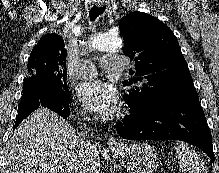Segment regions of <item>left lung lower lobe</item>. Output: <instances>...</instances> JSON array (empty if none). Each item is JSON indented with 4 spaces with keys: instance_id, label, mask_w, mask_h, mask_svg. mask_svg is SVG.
<instances>
[{
    "instance_id": "1",
    "label": "left lung lower lobe",
    "mask_w": 219,
    "mask_h": 173,
    "mask_svg": "<svg viewBox=\"0 0 219 173\" xmlns=\"http://www.w3.org/2000/svg\"><path fill=\"white\" fill-rule=\"evenodd\" d=\"M128 140H181L202 149L214 162L212 137L199 97L172 101L151 109H130L116 124Z\"/></svg>"
}]
</instances>
